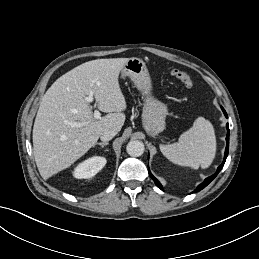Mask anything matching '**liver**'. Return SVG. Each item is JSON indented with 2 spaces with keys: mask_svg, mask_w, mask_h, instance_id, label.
<instances>
[{
  "mask_svg": "<svg viewBox=\"0 0 259 259\" xmlns=\"http://www.w3.org/2000/svg\"><path fill=\"white\" fill-rule=\"evenodd\" d=\"M129 58L85 62L58 78L42 97L33 126V154L43 179L70 167L94 146L105 130L119 132L125 122V97L119 74ZM93 93L99 119L85 96ZM82 123L72 127L66 122Z\"/></svg>",
  "mask_w": 259,
  "mask_h": 259,
  "instance_id": "liver-1",
  "label": "liver"
}]
</instances>
